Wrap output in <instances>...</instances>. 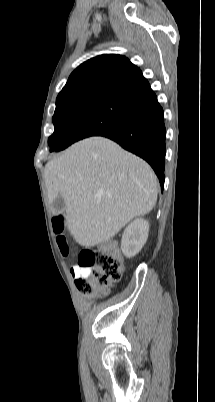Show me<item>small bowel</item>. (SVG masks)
I'll use <instances>...</instances> for the list:
<instances>
[{"mask_svg":"<svg viewBox=\"0 0 215 402\" xmlns=\"http://www.w3.org/2000/svg\"><path fill=\"white\" fill-rule=\"evenodd\" d=\"M90 271L91 270L89 268H81L78 265H74L71 268V275L76 280L79 278L87 277L90 274Z\"/></svg>","mask_w":215,"mask_h":402,"instance_id":"obj_1","label":"small bowel"}]
</instances>
